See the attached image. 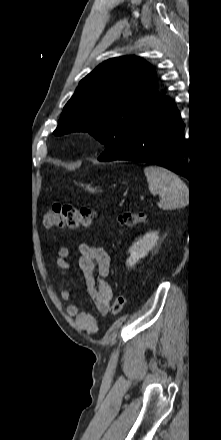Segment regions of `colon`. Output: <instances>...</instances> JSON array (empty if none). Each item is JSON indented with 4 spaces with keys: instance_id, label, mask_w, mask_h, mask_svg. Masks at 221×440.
<instances>
[{
    "instance_id": "1",
    "label": "colon",
    "mask_w": 221,
    "mask_h": 440,
    "mask_svg": "<svg viewBox=\"0 0 221 440\" xmlns=\"http://www.w3.org/2000/svg\"><path fill=\"white\" fill-rule=\"evenodd\" d=\"M95 219V212L89 208L77 207L69 204H54L48 208L44 215V225L47 228H76L90 226ZM145 214L142 212H124L118 215V224L122 227H134L142 223ZM125 305V298L118 295L112 305L111 313L118 315Z\"/></svg>"
}]
</instances>
